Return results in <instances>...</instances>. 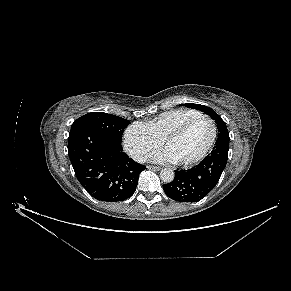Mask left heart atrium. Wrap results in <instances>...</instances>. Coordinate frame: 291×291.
I'll list each match as a JSON object with an SVG mask.
<instances>
[{
    "mask_svg": "<svg viewBox=\"0 0 291 291\" xmlns=\"http://www.w3.org/2000/svg\"><path fill=\"white\" fill-rule=\"evenodd\" d=\"M151 160L154 162H175L176 159L172 153L167 149H161L151 155Z\"/></svg>",
    "mask_w": 291,
    "mask_h": 291,
    "instance_id": "obj_1",
    "label": "left heart atrium"
}]
</instances>
